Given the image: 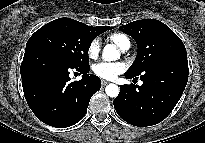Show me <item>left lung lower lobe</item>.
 I'll return each instance as SVG.
<instances>
[{
	"mask_svg": "<svg viewBox=\"0 0 205 143\" xmlns=\"http://www.w3.org/2000/svg\"><path fill=\"white\" fill-rule=\"evenodd\" d=\"M187 55L158 61L140 75L142 86L122 85L114 99L117 114L127 123L145 127L160 123L178 103L188 81ZM126 78H137L125 74Z\"/></svg>",
	"mask_w": 205,
	"mask_h": 143,
	"instance_id": "left-lung-lower-lobe-1",
	"label": "left lung lower lobe"
}]
</instances>
